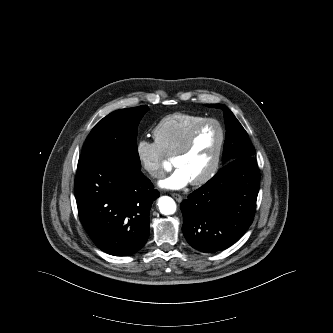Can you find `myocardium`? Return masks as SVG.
Masks as SVG:
<instances>
[{
	"instance_id": "obj_1",
	"label": "myocardium",
	"mask_w": 333,
	"mask_h": 333,
	"mask_svg": "<svg viewBox=\"0 0 333 333\" xmlns=\"http://www.w3.org/2000/svg\"><path fill=\"white\" fill-rule=\"evenodd\" d=\"M208 124H214L218 127L220 133V141L215 159L209 170L200 178L191 181V184L195 186L203 185L210 181L216 175L220 167L226 142V134L223 125L220 121L214 118H206L202 120L190 130L182 145L174 153V158L187 154L191 150L198 132Z\"/></svg>"
}]
</instances>
